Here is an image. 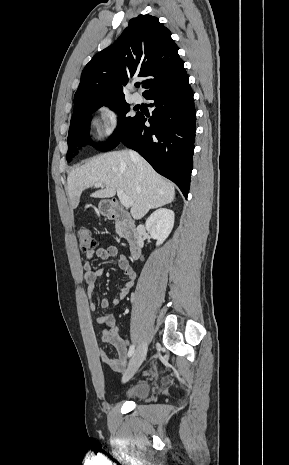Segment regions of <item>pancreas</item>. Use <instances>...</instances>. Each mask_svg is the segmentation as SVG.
Returning a JSON list of instances; mask_svg holds the SVG:
<instances>
[{
  "label": "pancreas",
  "mask_w": 289,
  "mask_h": 465,
  "mask_svg": "<svg viewBox=\"0 0 289 465\" xmlns=\"http://www.w3.org/2000/svg\"><path fill=\"white\" fill-rule=\"evenodd\" d=\"M116 233H117L120 237H123V236H124V235H123V232H122V230H121V228H120V226H119L118 224L116 225Z\"/></svg>",
  "instance_id": "cf45deb5"
}]
</instances>
